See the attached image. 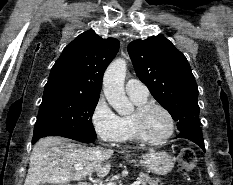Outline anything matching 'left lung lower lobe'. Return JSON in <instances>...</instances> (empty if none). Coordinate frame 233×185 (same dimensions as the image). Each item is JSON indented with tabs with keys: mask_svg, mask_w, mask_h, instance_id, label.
<instances>
[{
	"mask_svg": "<svg viewBox=\"0 0 233 185\" xmlns=\"http://www.w3.org/2000/svg\"><path fill=\"white\" fill-rule=\"evenodd\" d=\"M178 137L179 138H186V139L193 141L198 146H200L203 151H205L202 131L199 127L183 131L178 135Z\"/></svg>",
	"mask_w": 233,
	"mask_h": 185,
	"instance_id": "obj_1",
	"label": "left lung lower lobe"
}]
</instances>
